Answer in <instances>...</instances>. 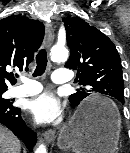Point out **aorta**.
Instances as JSON below:
<instances>
[{
    "instance_id": "obj_1",
    "label": "aorta",
    "mask_w": 130,
    "mask_h": 153,
    "mask_svg": "<svg viewBox=\"0 0 130 153\" xmlns=\"http://www.w3.org/2000/svg\"><path fill=\"white\" fill-rule=\"evenodd\" d=\"M50 55L54 62H65L68 59V50L65 47L54 46ZM35 153H47L46 146L44 144L39 145Z\"/></svg>"
}]
</instances>
